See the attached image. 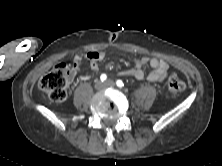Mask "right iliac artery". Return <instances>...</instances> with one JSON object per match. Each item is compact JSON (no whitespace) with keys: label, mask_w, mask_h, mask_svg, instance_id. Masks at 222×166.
<instances>
[{"label":"right iliac artery","mask_w":222,"mask_h":166,"mask_svg":"<svg viewBox=\"0 0 222 166\" xmlns=\"http://www.w3.org/2000/svg\"><path fill=\"white\" fill-rule=\"evenodd\" d=\"M100 79L102 82L105 81L107 79L106 74H101Z\"/></svg>","instance_id":"82829eb1"}]
</instances>
